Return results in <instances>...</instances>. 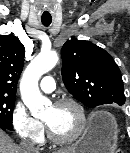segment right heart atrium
Wrapping results in <instances>:
<instances>
[{
    "instance_id": "1",
    "label": "right heart atrium",
    "mask_w": 130,
    "mask_h": 153,
    "mask_svg": "<svg viewBox=\"0 0 130 153\" xmlns=\"http://www.w3.org/2000/svg\"><path fill=\"white\" fill-rule=\"evenodd\" d=\"M11 125L18 138L40 144L44 140V124L34 118L22 102H17L11 113Z\"/></svg>"
}]
</instances>
